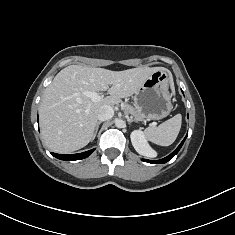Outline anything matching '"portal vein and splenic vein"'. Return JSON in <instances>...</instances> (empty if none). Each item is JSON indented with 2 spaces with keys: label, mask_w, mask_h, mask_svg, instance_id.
I'll return each instance as SVG.
<instances>
[{
  "label": "portal vein and splenic vein",
  "mask_w": 235,
  "mask_h": 235,
  "mask_svg": "<svg viewBox=\"0 0 235 235\" xmlns=\"http://www.w3.org/2000/svg\"><path fill=\"white\" fill-rule=\"evenodd\" d=\"M83 94L89 97L92 101H99L101 99L100 94L97 92L84 91Z\"/></svg>",
  "instance_id": "1"
}]
</instances>
